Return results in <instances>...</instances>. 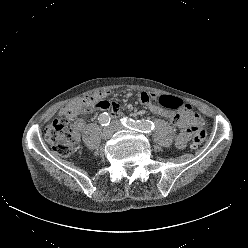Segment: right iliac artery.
<instances>
[{"label": "right iliac artery", "mask_w": 248, "mask_h": 248, "mask_svg": "<svg viewBox=\"0 0 248 248\" xmlns=\"http://www.w3.org/2000/svg\"><path fill=\"white\" fill-rule=\"evenodd\" d=\"M98 120L102 126H108L110 124V116L106 112L100 114Z\"/></svg>", "instance_id": "1"}]
</instances>
